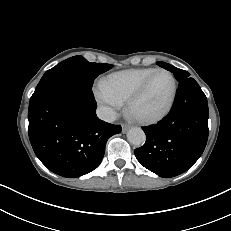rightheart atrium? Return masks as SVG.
Returning a JSON list of instances; mask_svg holds the SVG:
<instances>
[{
    "mask_svg": "<svg viewBox=\"0 0 231 231\" xmlns=\"http://www.w3.org/2000/svg\"><path fill=\"white\" fill-rule=\"evenodd\" d=\"M95 97L108 115H112L121 105V102L104 93L100 88L95 92Z\"/></svg>",
    "mask_w": 231,
    "mask_h": 231,
    "instance_id": "obj_1",
    "label": "right heart atrium"
}]
</instances>
